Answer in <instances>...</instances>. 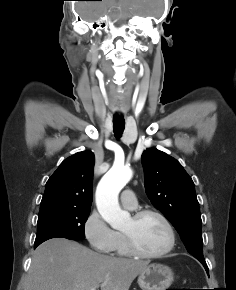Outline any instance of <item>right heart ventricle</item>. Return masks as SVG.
Returning <instances> with one entry per match:
<instances>
[{
	"label": "right heart ventricle",
	"instance_id": "right-heart-ventricle-1",
	"mask_svg": "<svg viewBox=\"0 0 236 290\" xmlns=\"http://www.w3.org/2000/svg\"><path fill=\"white\" fill-rule=\"evenodd\" d=\"M116 235H117V238H116V243H115V246L113 248V251L119 256H128L129 252H128L127 247L125 245L123 235L121 233H117V232H116Z\"/></svg>",
	"mask_w": 236,
	"mask_h": 290
}]
</instances>
